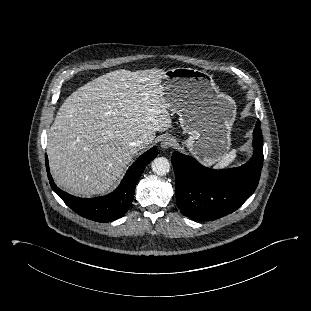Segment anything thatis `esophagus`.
I'll return each instance as SVG.
<instances>
[{"label":"esophagus","instance_id":"34e87169","mask_svg":"<svg viewBox=\"0 0 311 311\" xmlns=\"http://www.w3.org/2000/svg\"><path fill=\"white\" fill-rule=\"evenodd\" d=\"M175 139L171 136H165L162 140H161V148L163 150H167L169 148H171L172 146L175 145Z\"/></svg>","mask_w":311,"mask_h":311}]
</instances>
